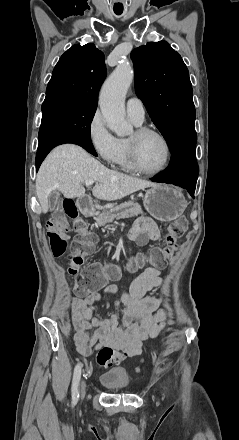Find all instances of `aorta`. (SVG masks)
<instances>
[{
  "label": "aorta",
  "instance_id": "aorta-1",
  "mask_svg": "<svg viewBox=\"0 0 239 440\" xmlns=\"http://www.w3.org/2000/svg\"><path fill=\"white\" fill-rule=\"evenodd\" d=\"M134 72L127 60L120 62L102 86L99 104L107 128L113 130L116 136H130L133 126L125 120V98L132 84Z\"/></svg>",
  "mask_w": 239,
  "mask_h": 440
}]
</instances>
